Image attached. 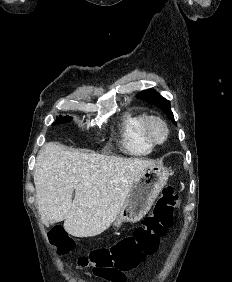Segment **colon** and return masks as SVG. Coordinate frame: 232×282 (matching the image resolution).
Masks as SVG:
<instances>
[{
  "instance_id": "obj_1",
  "label": "colon",
  "mask_w": 232,
  "mask_h": 282,
  "mask_svg": "<svg viewBox=\"0 0 232 282\" xmlns=\"http://www.w3.org/2000/svg\"><path fill=\"white\" fill-rule=\"evenodd\" d=\"M178 203V193L172 186H165L153 211L132 235L126 236L110 247L98 248L88 255L80 256L76 265L90 270L96 276H106L114 271H129L152 255L159 240L171 226L173 212ZM50 241L59 254H66L74 247L73 239L62 227L50 231Z\"/></svg>"
}]
</instances>
